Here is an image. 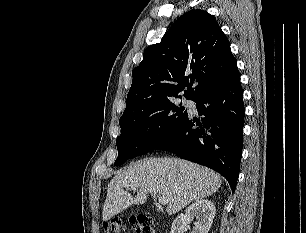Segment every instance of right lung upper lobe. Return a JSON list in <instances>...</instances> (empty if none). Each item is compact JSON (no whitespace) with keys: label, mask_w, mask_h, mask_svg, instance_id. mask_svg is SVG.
<instances>
[{"label":"right lung upper lobe","mask_w":306,"mask_h":233,"mask_svg":"<svg viewBox=\"0 0 306 233\" xmlns=\"http://www.w3.org/2000/svg\"><path fill=\"white\" fill-rule=\"evenodd\" d=\"M236 72L230 43L216 19L206 11L190 10L175 21L160 43L145 50L142 62L132 71L123 115L181 97L178 93L185 87L184 96L196 101Z\"/></svg>","instance_id":"right-lung-upper-lobe-1"}]
</instances>
